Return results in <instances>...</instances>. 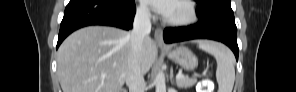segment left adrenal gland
<instances>
[{
  "label": "left adrenal gland",
  "instance_id": "obj_1",
  "mask_svg": "<svg viewBox=\"0 0 296 92\" xmlns=\"http://www.w3.org/2000/svg\"><path fill=\"white\" fill-rule=\"evenodd\" d=\"M170 81H171V84L174 85L175 82H174V78H173V71L171 72V75H170Z\"/></svg>",
  "mask_w": 296,
  "mask_h": 92
}]
</instances>
